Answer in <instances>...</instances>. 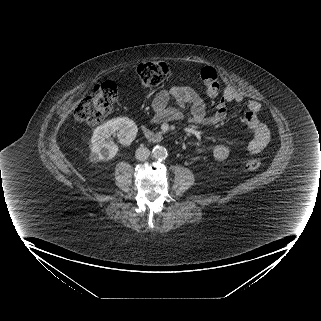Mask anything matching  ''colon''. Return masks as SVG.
<instances>
[{
    "label": "colon",
    "mask_w": 321,
    "mask_h": 321,
    "mask_svg": "<svg viewBox=\"0 0 321 321\" xmlns=\"http://www.w3.org/2000/svg\"><path fill=\"white\" fill-rule=\"evenodd\" d=\"M172 68L165 62L142 63L137 68V74L145 86H156L167 81L172 76ZM198 77L204 84L206 93L216 97L221 90L217 71L211 66H204L198 72ZM117 98V86L112 81L97 84L93 90L77 105L74 117L79 122L96 124L103 121L111 112ZM261 166L258 158L246 162V168L257 170Z\"/></svg>",
    "instance_id": "5ec220e1"
}]
</instances>
